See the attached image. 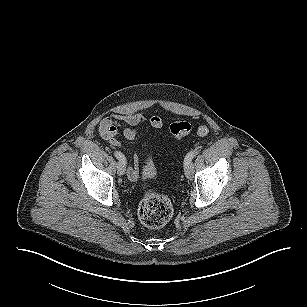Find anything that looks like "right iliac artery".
Returning a JSON list of instances; mask_svg holds the SVG:
<instances>
[{"mask_svg": "<svg viewBox=\"0 0 307 307\" xmlns=\"http://www.w3.org/2000/svg\"><path fill=\"white\" fill-rule=\"evenodd\" d=\"M114 155H115V157H116L120 162H122L124 165H126L125 156H124L121 152L115 151V152H114Z\"/></svg>", "mask_w": 307, "mask_h": 307, "instance_id": "right-iliac-artery-1", "label": "right iliac artery"}]
</instances>
